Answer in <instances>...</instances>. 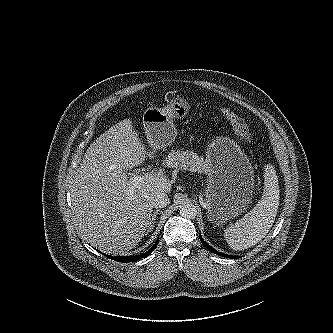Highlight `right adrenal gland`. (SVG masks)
<instances>
[{"label": "right adrenal gland", "instance_id": "1", "mask_svg": "<svg viewBox=\"0 0 333 333\" xmlns=\"http://www.w3.org/2000/svg\"><path fill=\"white\" fill-rule=\"evenodd\" d=\"M160 212V209H157L156 211L153 212L151 218H150V222H149V228L147 230V233H149L150 231H152V229L154 228L155 225V220L156 217L158 215V213Z\"/></svg>", "mask_w": 333, "mask_h": 333}]
</instances>
